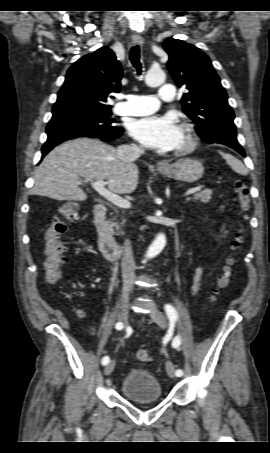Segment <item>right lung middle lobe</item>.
<instances>
[{
  "mask_svg": "<svg viewBox=\"0 0 270 453\" xmlns=\"http://www.w3.org/2000/svg\"><path fill=\"white\" fill-rule=\"evenodd\" d=\"M116 120L111 118L110 110L87 111L73 115L52 118L48 125L71 124L96 129H113Z\"/></svg>",
  "mask_w": 270,
  "mask_h": 453,
  "instance_id": "1",
  "label": "right lung middle lobe"
}]
</instances>
